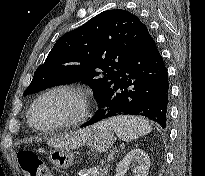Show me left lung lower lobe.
<instances>
[{"label":"left lung lower lobe","mask_w":205,"mask_h":176,"mask_svg":"<svg viewBox=\"0 0 205 176\" xmlns=\"http://www.w3.org/2000/svg\"><path fill=\"white\" fill-rule=\"evenodd\" d=\"M168 94V72L146 28L126 56L116 81L99 101V109L82 127L111 117L141 115L165 128Z\"/></svg>","instance_id":"0a47b994"}]
</instances>
